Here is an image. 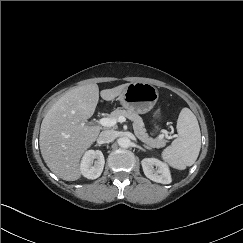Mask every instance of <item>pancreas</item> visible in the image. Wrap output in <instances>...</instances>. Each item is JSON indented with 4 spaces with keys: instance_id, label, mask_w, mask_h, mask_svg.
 Returning a JSON list of instances; mask_svg holds the SVG:
<instances>
[{
    "instance_id": "cf45deb5",
    "label": "pancreas",
    "mask_w": 243,
    "mask_h": 243,
    "mask_svg": "<svg viewBox=\"0 0 243 243\" xmlns=\"http://www.w3.org/2000/svg\"><path fill=\"white\" fill-rule=\"evenodd\" d=\"M120 116H124L130 119L131 121H133V128H134L135 135L139 140L145 143L147 147L160 148L165 145V140L154 139L152 137H149L144 127L143 120L137 113L117 108L110 114V117L115 119H118Z\"/></svg>"
}]
</instances>
